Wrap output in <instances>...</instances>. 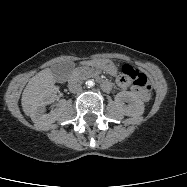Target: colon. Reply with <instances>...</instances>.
I'll list each match as a JSON object with an SVG mask.
<instances>
[{"label":"colon","mask_w":187,"mask_h":187,"mask_svg":"<svg viewBox=\"0 0 187 187\" xmlns=\"http://www.w3.org/2000/svg\"><path fill=\"white\" fill-rule=\"evenodd\" d=\"M120 77L127 78L133 82L134 87L140 92L143 100H148L152 90V86L147 76L135 70L130 65L122 67V74Z\"/></svg>","instance_id":"5ec220e1"}]
</instances>
